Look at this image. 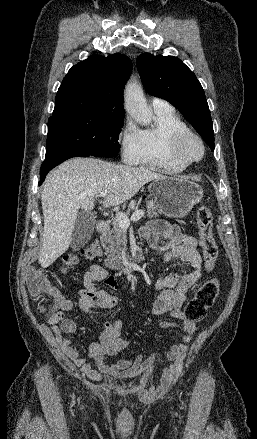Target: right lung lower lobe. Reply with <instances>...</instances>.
<instances>
[{"label": "right lung lower lobe", "instance_id": "obj_1", "mask_svg": "<svg viewBox=\"0 0 257 439\" xmlns=\"http://www.w3.org/2000/svg\"><path fill=\"white\" fill-rule=\"evenodd\" d=\"M76 156H91V155H76ZM76 156L66 155L54 159L45 160L40 169V184L44 181L45 176L52 168L62 163L63 161ZM94 157H98V156H94Z\"/></svg>", "mask_w": 257, "mask_h": 439}]
</instances>
